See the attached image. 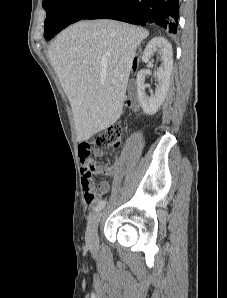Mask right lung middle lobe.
Here are the masks:
<instances>
[{
    "mask_svg": "<svg viewBox=\"0 0 227 298\" xmlns=\"http://www.w3.org/2000/svg\"><path fill=\"white\" fill-rule=\"evenodd\" d=\"M101 0H43L47 17L44 36L50 39L68 25L87 15Z\"/></svg>",
    "mask_w": 227,
    "mask_h": 298,
    "instance_id": "obj_1",
    "label": "right lung middle lobe"
}]
</instances>
